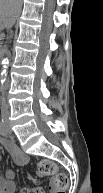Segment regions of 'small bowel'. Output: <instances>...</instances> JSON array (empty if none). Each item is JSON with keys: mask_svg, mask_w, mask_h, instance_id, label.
I'll list each match as a JSON object with an SVG mask.
<instances>
[{"mask_svg": "<svg viewBox=\"0 0 103 193\" xmlns=\"http://www.w3.org/2000/svg\"><path fill=\"white\" fill-rule=\"evenodd\" d=\"M6 149L11 154L13 160L19 165H25L28 163V156L22 152L16 145L9 140H4ZM15 172L12 169H8L4 173V177L0 180V192L1 193H15L16 185L14 183ZM20 193H46L42 187L37 188H23ZM50 193H60V190L54 183L50 184Z\"/></svg>", "mask_w": 103, "mask_h": 193, "instance_id": "1", "label": "small bowel"}]
</instances>
